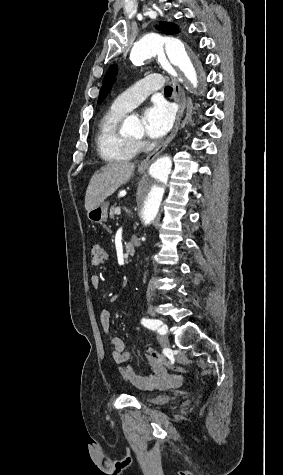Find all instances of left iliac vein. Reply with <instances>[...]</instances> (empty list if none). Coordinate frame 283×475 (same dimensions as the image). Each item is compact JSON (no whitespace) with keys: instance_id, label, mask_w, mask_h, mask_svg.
Here are the masks:
<instances>
[{"instance_id":"4c4485c4","label":"left iliac vein","mask_w":283,"mask_h":475,"mask_svg":"<svg viewBox=\"0 0 283 475\" xmlns=\"http://www.w3.org/2000/svg\"><path fill=\"white\" fill-rule=\"evenodd\" d=\"M161 327H165L166 332H167V330H168L167 325L163 324ZM157 340L161 345L169 346V341H168L167 337L164 336L163 334L158 335Z\"/></svg>"}]
</instances>
